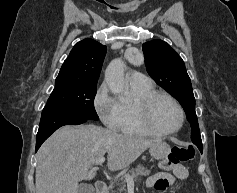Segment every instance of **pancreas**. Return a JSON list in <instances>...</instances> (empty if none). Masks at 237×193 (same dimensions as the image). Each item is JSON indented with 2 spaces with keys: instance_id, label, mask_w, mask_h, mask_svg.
Segmentation results:
<instances>
[{
  "instance_id": "1",
  "label": "pancreas",
  "mask_w": 237,
  "mask_h": 193,
  "mask_svg": "<svg viewBox=\"0 0 237 193\" xmlns=\"http://www.w3.org/2000/svg\"><path fill=\"white\" fill-rule=\"evenodd\" d=\"M150 171L143 165H138L136 168L131 169L125 176H131L133 178H138L139 176H147ZM122 182H112L109 186L112 193H123L126 191V180L120 179ZM115 186H118L116 190H113Z\"/></svg>"
}]
</instances>
